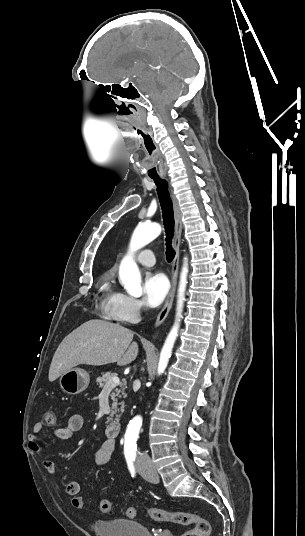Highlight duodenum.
<instances>
[{
  "label": "duodenum",
  "instance_id": "410a0bca",
  "mask_svg": "<svg viewBox=\"0 0 305 536\" xmlns=\"http://www.w3.org/2000/svg\"><path fill=\"white\" fill-rule=\"evenodd\" d=\"M123 426L119 422H112L105 427V434L110 439L118 437L122 433Z\"/></svg>",
  "mask_w": 305,
  "mask_h": 536
}]
</instances>
